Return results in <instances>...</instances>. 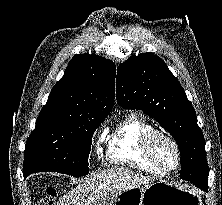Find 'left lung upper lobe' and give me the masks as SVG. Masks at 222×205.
Returning a JSON list of instances; mask_svg holds the SVG:
<instances>
[{
    "mask_svg": "<svg viewBox=\"0 0 222 205\" xmlns=\"http://www.w3.org/2000/svg\"><path fill=\"white\" fill-rule=\"evenodd\" d=\"M116 89L122 108L140 109L155 118L177 141L181 154L198 158L200 169L192 176L208 184L202 130L184 89L165 62L150 52L131 56L118 67Z\"/></svg>",
    "mask_w": 222,
    "mask_h": 205,
    "instance_id": "obj_1",
    "label": "left lung upper lobe"
}]
</instances>
